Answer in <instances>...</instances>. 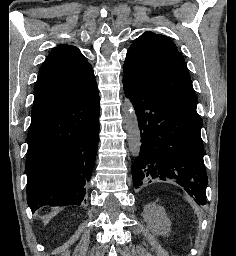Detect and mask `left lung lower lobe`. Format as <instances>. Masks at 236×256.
I'll use <instances>...</instances> for the list:
<instances>
[{
  "label": "left lung lower lobe",
  "instance_id": "obj_1",
  "mask_svg": "<svg viewBox=\"0 0 236 256\" xmlns=\"http://www.w3.org/2000/svg\"><path fill=\"white\" fill-rule=\"evenodd\" d=\"M123 85L135 108L141 134V150L132 164L135 188L156 180H174L196 202H206L207 175L196 108L123 77Z\"/></svg>",
  "mask_w": 236,
  "mask_h": 256
}]
</instances>
